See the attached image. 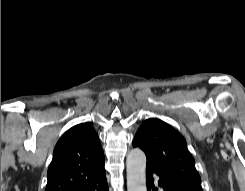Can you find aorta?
I'll return each instance as SVG.
<instances>
[{
  "instance_id": "aorta-1",
  "label": "aorta",
  "mask_w": 245,
  "mask_h": 191,
  "mask_svg": "<svg viewBox=\"0 0 245 191\" xmlns=\"http://www.w3.org/2000/svg\"><path fill=\"white\" fill-rule=\"evenodd\" d=\"M127 191H147L146 156L139 148L132 149L126 159Z\"/></svg>"
}]
</instances>
